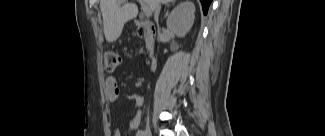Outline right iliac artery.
<instances>
[{"instance_id":"right-iliac-artery-1","label":"right iliac artery","mask_w":325,"mask_h":136,"mask_svg":"<svg viewBox=\"0 0 325 136\" xmlns=\"http://www.w3.org/2000/svg\"><path fill=\"white\" fill-rule=\"evenodd\" d=\"M146 135V133H145V131H143V130H139L138 132H137V136H145Z\"/></svg>"}]
</instances>
